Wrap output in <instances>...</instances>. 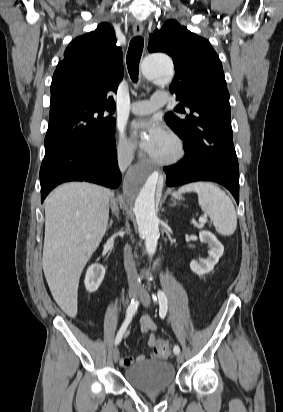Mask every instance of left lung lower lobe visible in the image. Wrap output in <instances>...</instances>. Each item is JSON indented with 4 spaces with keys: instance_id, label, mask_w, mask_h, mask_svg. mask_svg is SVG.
I'll return each mask as SVG.
<instances>
[{
    "instance_id": "left-lung-lower-lobe-1",
    "label": "left lung lower lobe",
    "mask_w": 283,
    "mask_h": 412,
    "mask_svg": "<svg viewBox=\"0 0 283 412\" xmlns=\"http://www.w3.org/2000/svg\"><path fill=\"white\" fill-rule=\"evenodd\" d=\"M186 154L179 163L165 167L166 184L177 186L195 181H214L225 186L239 203V170L226 169L213 162L193 134L184 135Z\"/></svg>"
}]
</instances>
